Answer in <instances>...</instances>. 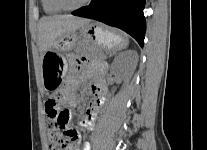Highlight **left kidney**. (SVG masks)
Here are the masks:
<instances>
[{"mask_svg": "<svg viewBox=\"0 0 207 150\" xmlns=\"http://www.w3.org/2000/svg\"><path fill=\"white\" fill-rule=\"evenodd\" d=\"M138 54L134 50H129L119 54L111 65L113 74L122 76L125 80L131 76L136 69ZM122 68V69H121Z\"/></svg>", "mask_w": 207, "mask_h": 150, "instance_id": "5707ae66", "label": "left kidney"}]
</instances>
